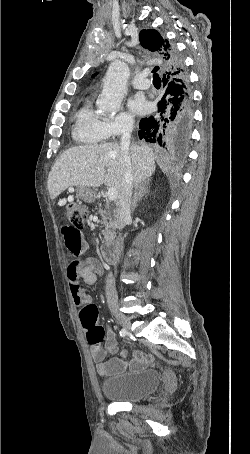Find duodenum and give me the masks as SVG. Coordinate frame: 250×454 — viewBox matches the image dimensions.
Returning <instances> with one entry per match:
<instances>
[{
  "label": "duodenum",
  "mask_w": 250,
  "mask_h": 454,
  "mask_svg": "<svg viewBox=\"0 0 250 454\" xmlns=\"http://www.w3.org/2000/svg\"><path fill=\"white\" fill-rule=\"evenodd\" d=\"M101 255L105 262L109 264H116V250L117 247L112 242H106L101 246Z\"/></svg>",
  "instance_id": "410a0bca"
}]
</instances>
